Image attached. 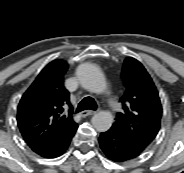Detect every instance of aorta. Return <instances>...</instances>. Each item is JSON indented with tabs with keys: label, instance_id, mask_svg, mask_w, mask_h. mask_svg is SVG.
Segmentation results:
<instances>
[{
	"label": "aorta",
	"instance_id": "aorta-1",
	"mask_svg": "<svg viewBox=\"0 0 184 173\" xmlns=\"http://www.w3.org/2000/svg\"><path fill=\"white\" fill-rule=\"evenodd\" d=\"M78 79L83 88L94 93H102L106 89V81L101 71L92 64H84L78 70ZM93 127L99 132L108 131L114 118L109 111H100L91 119Z\"/></svg>",
	"mask_w": 184,
	"mask_h": 173
}]
</instances>
